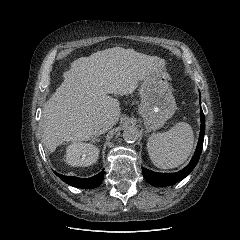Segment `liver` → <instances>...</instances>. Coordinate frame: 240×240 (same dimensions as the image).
Instances as JSON below:
<instances>
[{"label": "liver", "mask_w": 240, "mask_h": 240, "mask_svg": "<svg viewBox=\"0 0 240 240\" xmlns=\"http://www.w3.org/2000/svg\"><path fill=\"white\" fill-rule=\"evenodd\" d=\"M165 61L122 47L81 57L63 74L64 81L45 103L42 142L54 152L63 142L88 141L97 125L107 120L112 128L119 119L120 103L110 96L129 95L139 81L161 69Z\"/></svg>", "instance_id": "1"}]
</instances>
